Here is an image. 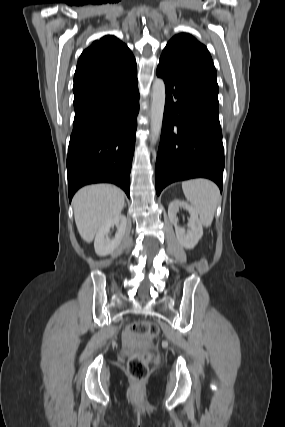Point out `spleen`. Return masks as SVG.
I'll list each match as a JSON object with an SVG mask.
<instances>
[{
    "mask_svg": "<svg viewBox=\"0 0 285 427\" xmlns=\"http://www.w3.org/2000/svg\"><path fill=\"white\" fill-rule=\"evenodd\" d=\"M182 190L187 201L199 214L201 223L210 226L220 198L216 184L201 178L187 180L182 182Z\"/></svg>",
    "mask_w": 285,
    "mask_h": 427,
    "instance_id": "1",
    "label": "spleen"
}]
</instances>
